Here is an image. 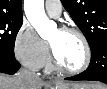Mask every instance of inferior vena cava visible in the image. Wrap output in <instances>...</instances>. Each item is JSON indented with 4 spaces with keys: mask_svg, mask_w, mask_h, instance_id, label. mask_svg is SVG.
<instances>
[{
    "mask_svg": "<svg viewBox=\"0 0 107 89\" xmlns=\"http://www.w3.org/2000/svg\"><path fill=\"white\" fill-rule=\"evenodd\" d=\"M20 76L22 77H25V78H31V77H36L37 76L35 75V73L33 72H30L29 70L25 69V68H22L19 73H18Z\"/></svg>",
    "mask_w": 107,
    "mask_h": 89,
    "instance_id": "obj_1",
    "label": "inferior vena cava"
}]
</instances>
